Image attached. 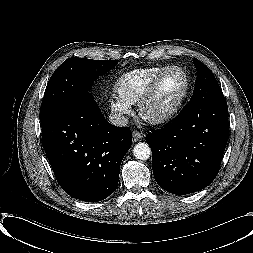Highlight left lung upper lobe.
<instances>
[{"label":"left lung upper lobe","instance_id":"5c2ea615","mask_svg":"<svg viewBox=\"0 0 253 253\" xmlns=\"http://www.w3.org/2000/svg\"><path fill=\"white\" fill-rule=\"evenodd\" d=\"M194 64L197 77L194 93L189 103H197L199 106H203L222 97L223 93L210 69L198 59H194Z\"/></svg>","mask_w":253,"mask_h":253}]
</instances>
